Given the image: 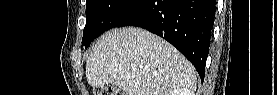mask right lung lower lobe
Instances as JSON below:
<instances>
[{
	"label": "right lung lower lobe",
	"mask_w": 277,
	"mask_h": 95,
	"mask_svg": "<svg viewBox=\"0 0 277 95\" xmlns=\"http://www.w3.org/2000/svg\"><path fill=\"white\" fill-rule=\"evenodd\" d=\"M216 0H143L115 27L137 26L164 38L204 80Z\"/></svg>",
	"instance_id": "right-lung-lower-lobe-1"
}]
</instances>
